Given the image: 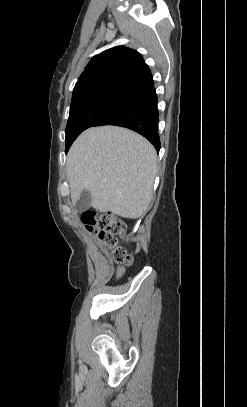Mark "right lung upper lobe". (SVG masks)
<instances>
[{
	"label": "right lung upper lobe",
	"mask_w": 247,
	"mask_h": 407,
	"mask_svg": "<svg viewBox=\"0 0 247 407\" xmlns=\"http://www.w3.org/2000/svg\"><path fill=\"white\" fill-rule=\"evenodd\" d=\"M151 84L152 75L141 54L118 46L90 60L74 87L72 102L107 88L124 87L139 91Z\"/></svg>",
	"instance_id": "cb5924a9"
}]
</instances>
